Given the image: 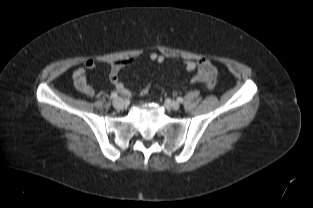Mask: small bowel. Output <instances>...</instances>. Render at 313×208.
Segmentation results:
<instances>
[{
    "label": "small bowel",
    "instance_id": "obj_1",
    "mask_svg": "<svg viewBox=\"0 0 313 208\" xmlns=\"http://www.w3.org/2000/svg\"><path fill=\"white\" fill-rule=\"evenodd\" d=\"M151 61L162 63L165 60V57L161 54L153 52L149 56ZM131 62V58L115 60L111 63L109 79L114 88L126 97L131 96V92L125 85L119 80V72L127 64ZM97 62L95 59H87L83 66L77 68L73 72V83L75 89L89 97L95 96V89L89 84L87 80V72L96 67ZM185 68L187 71L192 72L196 71V74L193 77V82L196 83H205L208 78L215 76L216 70L212 62L206 58H201L198 60H188L185 62Z\"/></svg>",
    "mask_w": 313,
    "mask_h": 208
}]
</instances>
